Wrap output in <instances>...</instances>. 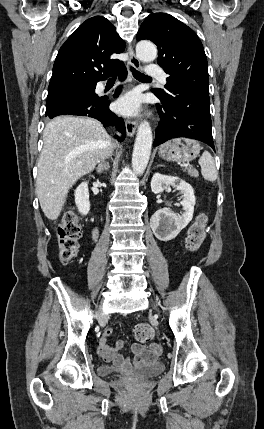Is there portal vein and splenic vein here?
Listing matches in <instances>:
<instances>
[{"label":"portal vein and splenic vein","instance_id":"18ae733b","mask_svg":"<svg viewBox=\"0 0 264 429\" xmlns=\"http://www.w3.org/2000/svg\"><path fill=\"white\" fill-rule=\"evenodd\" d=\"M181 166L184 168H189V169L192 168V166L188 165L187 163H183V164H181Z\"/></svg>","mask_w":264,"mask_h":429}]
</instances>
